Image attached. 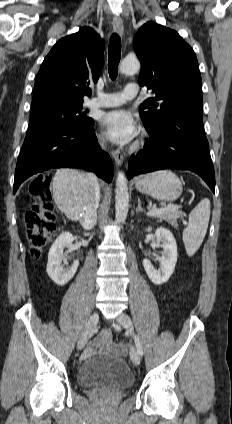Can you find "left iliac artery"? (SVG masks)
<instances>
[{
	"mask_svg": "<svg viewBox=\"0 0 232 424\" xmlns=\"http://www.w3.org/2000/svg\"><path fill=\"white\" fill-rule=\"evenodd\" d=\"M134 340H135L137 351H138L139 355L142 356L143 355V349H142L140 340L136 335L134 336Z\"/></svg>",
	"mask_w": 232,
	"mask_h": 424,
	"instance_id": "44dca946",
	"label": "left iliac artery"
}]
</instances>
